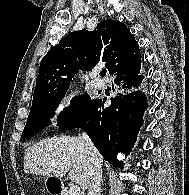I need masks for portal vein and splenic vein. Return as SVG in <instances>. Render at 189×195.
Masks as SVG:
<instances>
[{"label": "portal vein and splenic vein", "instance_id": "obj_1", "mask_svg": "<svg viewBox=\"0 0 189 195\" xmlns=\"http://www.w3.org/2000/svg\"><path fill=\"white\" fill-rule=\"evenodd\" d=\"M69 195H80V187L73 185L69 189Z\"/></svg>", "mask_w": 189, "mask_h": 195}]
</instances>
